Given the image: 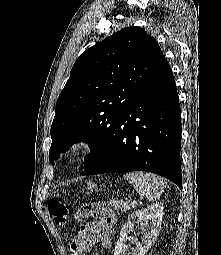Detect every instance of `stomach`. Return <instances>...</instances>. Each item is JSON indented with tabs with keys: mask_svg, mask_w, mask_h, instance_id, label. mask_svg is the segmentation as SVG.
<instances>
[{
	"mask_svg": "<svg viewBox=\"0 0 221 255\" xmlns=\"http://www.w3.org/2000/svg\"><path fill=\"white\" fill-rule=\"evenodd\" d=\"M87 186H88V189L91 191L97 190V188H98L97 185L93 182H88Z\"/></svg>",
	"mask_w": 221,
	"mask_h": 255,
	"instance_id": "1",
	"label": "stomach"
}]
</instances>
